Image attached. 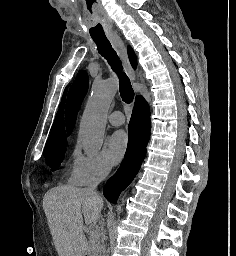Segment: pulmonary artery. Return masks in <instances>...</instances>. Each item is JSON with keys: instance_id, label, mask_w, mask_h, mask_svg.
Listing matches in <instances>:
<instances>
[{"instance_id": "e3ab8cb5", "label": "pulmonary artery", "mask_w": 236, "mask_h": 256, "mask_svg": "<svg viewBox=\"0 0 236 256\" xmlns=\"http://www.w3.org/2000/svg\"><path fill=\"white\" fill-rule=\"evenodd\" d=\"M108 121L114 126H120L124 123L122 113L115 111L107 116Z\"/></svg>"}]
</instances>
